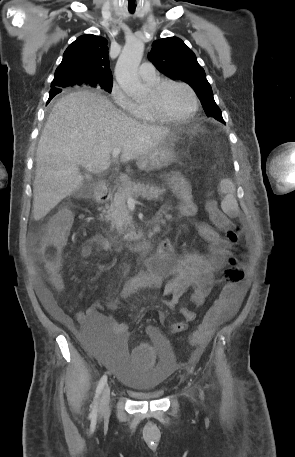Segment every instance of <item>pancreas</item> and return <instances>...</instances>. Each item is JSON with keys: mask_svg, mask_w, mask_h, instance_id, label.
Returning <instances> with one entry per match:
<instances>
[{"mask_svg": "<svg viewBox=\"0 0 295 457\" xmlns=\"http://www.w3.org/2000/svg\"><path fill=\"white\" fill-rule=\"evenodd\" d=\"M164 192L165 189L149 184L127 183L115 193L113 201L105 211V218L110 221L111 228L115 229L120 236L125 239L132 238L135 236V227L126 205L128 197L141 196L147 200H158Z\"/></svg>", "mask_w": 295, "mask_h": 457, "instance_id": "1", "label": "pancreas"}]
</instances>
